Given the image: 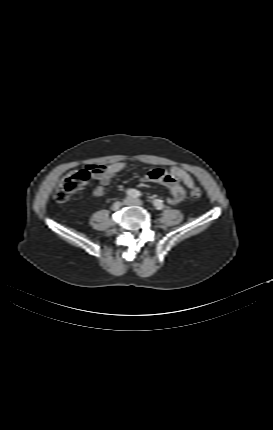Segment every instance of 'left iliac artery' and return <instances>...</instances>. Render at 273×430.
I'll return each instance as SVG.
<instances>
[{
  "label": "left iliac artery",
  "instance_id": "44dca946",
  "mask_svg": "<svg viewBox=\"0 0 273 430\" xmlns=\"http://www.w3.org/2000/svg\"><path fill=\"white\" fill-rule=\"evenodd\" d=\"M153 205L155 206V208H156L157 210H161V209H163V208H164V204H163L162 200H159V199H155V200L153 201Z\"/></svg>",
  "mask_w": 273,
  "mask_h": 430
}]
</instances>
